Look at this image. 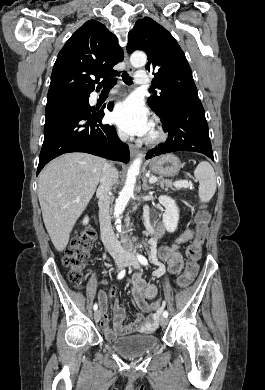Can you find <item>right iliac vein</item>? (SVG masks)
I'll use <instances>...</instances> for the list:
<instances>
[{
	"instance_id": "1",
	"label": "right iliac vein",
	"mask_w": 265,
	"mask_h": 390,
	"mask_svg": "<svg viewBox=\"0 0 265 390\" xmlns=\"http://www.w3.org/2000/svg\"><path fill=\"white\" fill-rule=\"evenodd\" d=\"M114 261L118 270H120L125 264V258L122 256H115ZM100 317H101V312L99 310H96L94 312L95 321L98 322L100 320Z\"/></svg>"
}]
</instances>
